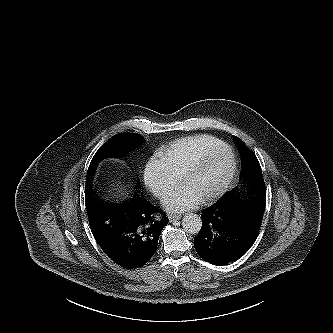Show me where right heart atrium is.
Segmentation results:
<instances>
[{
    "mask_svg": "<svg viewBox=\"0 0 333 333\" xmlns=\"http://www.w3.org/2000/svg\"><path fill=\"white\" fill-rule=\"evenodd\" d=\"M179 181L172 173L167 162L160 154L152 155L143 170V182L146 188L156 197L161 198Z\"/></svg>",
    "mask_w": 333,
    "mask_h": 333,
    "instance_id": "right-heart-atrium-1",
    "label": "right heart atrium"
}]
</instances>
